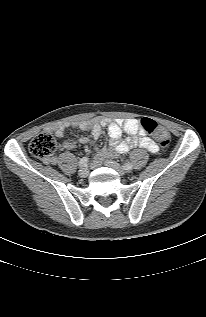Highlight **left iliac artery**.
I'll use <instances>...</instances> for the list:
<instances>
[{
	"instance_id": "1",
	"label": "left iliac artery",
	"mask_w": 206,
	"mask_h": 317,
	"mask_svg": "<svg viewBox=\"0 0 206 317\" xmlns=\"http://www.w3.org/2000/svg\"><path fill=\"white\" fill-rule=\"evenodd\" d=\"M123 168H124V170L130 171V170H132L133 165L128 162V163L123 164Z\"/></svg>"
}]
</instances>
